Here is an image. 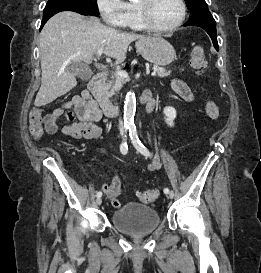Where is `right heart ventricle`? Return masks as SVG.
<instances>
[{
	"mask_svg": "<svg viewBox=\"0 0 261 273\" xmlns=\"http://www.w3.org/2000/svg\"><path fill=\"white\" fill-rule=\"evenodd\" d=\"M123 27L133 31L146 30L140 18V15L137 9V4H134V3L127 4V16H126Z\"/></svg>",
	"mask_w": 261,
	"mask_h": 273,
	"instance_id": "obj_1",
	"label": "right heart ventricle"
}]
</instances>
